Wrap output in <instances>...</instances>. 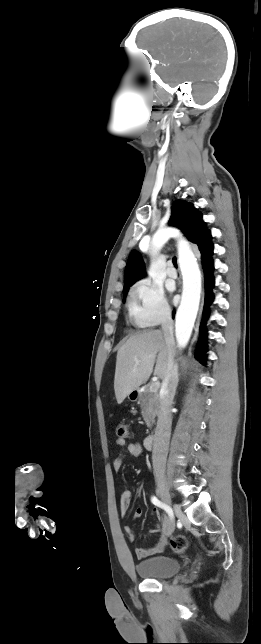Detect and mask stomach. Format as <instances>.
Returning a JSON list of instances; mask_svg holds the SVG:
<instances>
[{"mask_svg":"<svg viewBox=\"0 0 261 644\" xmlns=\"http://www.w3.org/2000/svg\"><path fill=\"white\" fill-rule=\"evenodd\" d=\"M137 395H138V390H134L128 395V398L131 401H135L137 399Z\"/></svg>","mask_w":261,"mask_h":644,"instance_id":"stomach-1","label":"stomach"}]
</instances>
